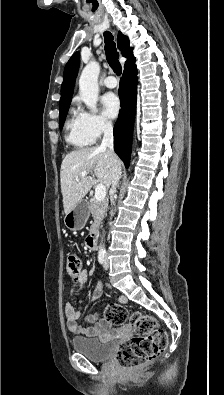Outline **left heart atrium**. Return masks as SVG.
Listing matches in <instances>:
<instances>
[{
  "mask_svg": "<svg viewBox=\"0 0 224 395\" xmlns=\"http://www.w3.org/2000/svg\"><path fill=\"white\" fill-rule=\"evenodd\" d=\"M103 109L109 118H115L120 110V100L113 93H107L102 98Z\"/></svg>",
  "mask_w": 224,
  "mask_h": 395,
  "instance_id": "left-heart-atrium-1",
  "label": "left heart atrium"
}]
</instances>
